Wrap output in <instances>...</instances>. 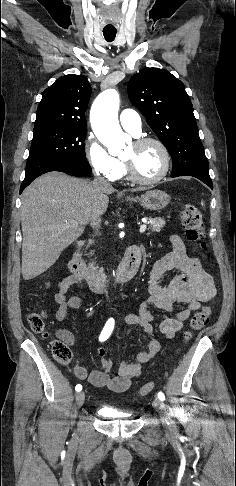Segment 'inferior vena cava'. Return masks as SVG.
<instances>
[{"instance_id": "obj_1", "label": "inferior vena cava", "mask_w": 236, "mask_h": 486, "mask_svg": "<svg viewBox=\"0 0 236 486\" xmlns=\"http://www.w3.org/2000/svg\"><path fill=\"white\" fill-rule=\"evenodd\" d=\"M92 185L98 189V190H103V189H108L111 187V184L103 177L97 176L92 182ZM91 226L94 230H98L101 226V218L100 216L96 217L95 219L92 220Z\"/></svg>"}]
</instances>
